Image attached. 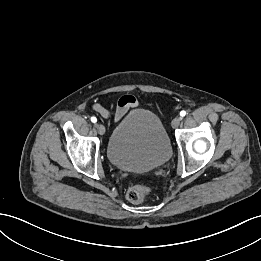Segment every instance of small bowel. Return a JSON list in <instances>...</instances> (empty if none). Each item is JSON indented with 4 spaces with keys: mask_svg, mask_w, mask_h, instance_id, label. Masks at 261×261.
I'll return each instance as SVG.
<instances>
[{
    "mask_svg": "<svg viewBox=\"0 0 261 261\" xmlns=\"http://www.w3.org/2000/svg\"><path fill=\"white\" fill-rule=\"evenodd\" d=\"M137 105L138 101L133 95H123L114 107L107 108L102 104H96L94 105V110L104 118H109L117 122L126 115L129 109Z\"/></svg>",
    "mask_w": 261,
    "mask_h": 261,
    "instance_id": "c3829d8e",
    "label": "small bowel"
}]
</instances>
